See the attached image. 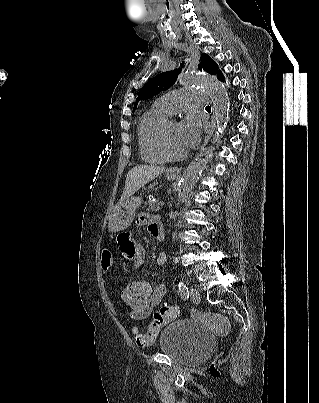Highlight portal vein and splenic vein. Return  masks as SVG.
<instances>
[{"mask_svg": "<svg viewBox=\"0 0 319 403\" xmlns=\"http://www.w3.org/2000/svg\"><path fill=\"white\" fill-rule=\"evenodd\" d=\"M158 205H159V206H163V205H164V202H162V201H161V202H158Z\"/></svg>", "mask_w": 319, "mask_h": 403, "instance_id": "18ae733b", "label": "portal vein and splenic vein"}]
</instances>
